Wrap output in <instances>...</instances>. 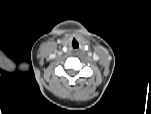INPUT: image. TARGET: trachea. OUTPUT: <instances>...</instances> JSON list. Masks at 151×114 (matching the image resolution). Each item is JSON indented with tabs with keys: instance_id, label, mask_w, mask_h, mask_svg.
<instances>
[{
	"instance_id": "obj_1",
	"label": "trachea",
	"mask_w": 151,
	"mask_h": 114,
	"mask_svg": "<svg viewBox=\"0 0 151 114\" xmlns=\"http://www.w3.org/2000/svg\"><path fill=\"white\" fill-rule=\"evenodd\" d=\"M73 47L76 48V49L79 47V45L76 41H73Z\"/></svg>"
}]
</instances>
